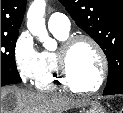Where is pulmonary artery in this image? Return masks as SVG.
I'll return each instance as SVG.
<instances>
[{
    "label": "pulmonary artery",
    "mask_w": 123,
    "mask_h": 113,
    "mask_svg": "<svg viewBox=\"0 0 123 113\" xmlns=\"http://www.w3.org/2000/svg\"><path fill=\"white\" fill-rule=\"evenodd\" d=\"M48 28L52 32L68 33L70 31V20L62 13H53L48 19Z\"/></svg>",
    "instance_id": "1"
}]
</instances>
